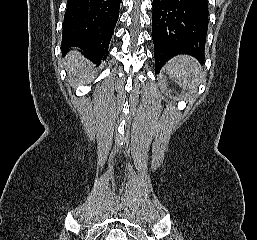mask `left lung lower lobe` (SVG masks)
<instances>
[{"label":"left lung lower lobe","mask_w":257,"mask_h":240,"mask_svg":"<svg viewBox=\"0 0 257 240\" xmlns=\"http://www.w3.org/2000/svg\"><path fill=\"white\" fill-rule=\"evenodd\" d=\"M152 6L155 72L181 52L202 64L209 23L207 0H153Z\"/></svg>","instance_id":"obj_1"}]
</instances>
